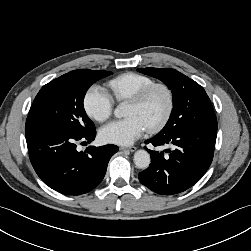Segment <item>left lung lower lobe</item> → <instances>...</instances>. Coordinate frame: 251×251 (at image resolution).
I'll return each mask as SVG.
<instances>
[{"mask_svg": "<svg viewBox=\"0 0 251 251\" xmlns=\"http://www.w3.org/2000/svg\"><path fill=\"white\" fill-rule=\"evenodd\" d=\"M199 121L205 114H198ZM217 124L183 127L173 133L145 141L154 146L171 144L164 152L148 150L150 166L139 173L140 182L155 193L173 195L192 187L209 168L214 154Z\"/></svg>", "mask_w": 251, "mask_h": 251, "instance_id": "obj_1", "label": "left lung lower lobe"}]
</instances>
